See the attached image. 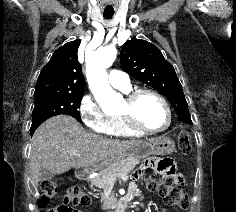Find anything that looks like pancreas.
Returning <instances> with one entry per match:
<instances>
[{
	"mask_svg": "<svg viewBox=\"0 0 236 212\" xmlns=\"http://www.w3.org/2000/svg\"><path fill=\"white\" fill-rule=\"evenodd\" d=\"M139 163V161L134 159H122L115 164L109 166L107 169L100 172L98 176H95L91 179V184L102 189L101 201H103V209H108L111 207V203L108 202L105 198V190L109 186L108 178H116L117 176H125L123 179L127 181L129 176V172L135 168V166Z\"/></svg>",
	"mask_w": 236,
	"mask_h": 212,
	"instance_id": "1",
	"label": "pancreas"
}]
</instances>
